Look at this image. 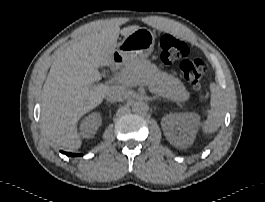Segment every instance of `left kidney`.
<instances>
[{
  "label": "left kidney",
  "instance_id": "obj_1",
  "mask_svg": "<svg viewBox=\"0 0 265 202\" xmlns=\"http://www.w3.org/2000/svg\"><path fill=\"white\" fill-rule=\"evenodd\" d=\"M199 120L196 113H171L162 118L161 125L170 144L188 148L196 137Z\"/></svg>",
  "mask_w": 265,
  "mask_h": 202
}]
</instances>
